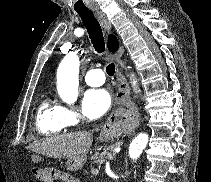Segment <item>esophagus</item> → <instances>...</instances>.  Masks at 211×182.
I'll list each match as a JSON object with an SVG mask.
<instances>
[{"label":"esophagus","instance_id":"esophagus-1","mask_svg":"<svg viewBox=\"0 0 211 182\" xmlns=\"http://www.w3.org/2000/svg\"><path fill=\"white\" fill-rule=\"evenodd\" d=\"M94 12H95L96 17L100 21L102 27L104 28V30L106 32H110L111 31V24L108 21V19L106 18V16L99 9H94ZM116 76H117V85H118V90L115 94L116 104L124 105V106L132 105L131 100H130L129 85L126 82L124 76L122 75V73L120 72L119 69H117ZM135 110L137 112L136 107H135ZM112 120H113V115L111 114L104 124V127H103L104 130H107V128L113 123ZM139 122H140V118H139V115H137L136 116V126L139 125Z\"/></svg>","mask_w":211,"mask_h":182}]
</instances>
